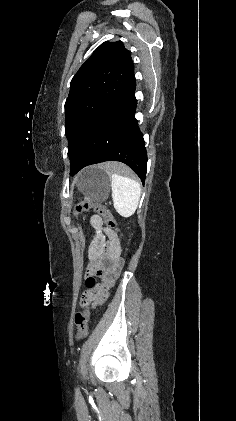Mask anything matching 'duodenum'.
Here are the masks:
<instances>
[{"mask_svg":"<svg viewBox=\"0 0 236 421\" xmlns=\"http://www.w3.org/2000/svg\"><path fill=\"white\" fill-rule=\"evenodd\" d=\"M98 261L102 285L104 289H108L122 268V262L119 258L118 251H101L98 255ZM97 297L102 298L103 293L98 294Z\"/></svg>","mask_w":236,"mask_h":421,"instance_id":"410a0bca","label":"duodenum"}]
</instances>
